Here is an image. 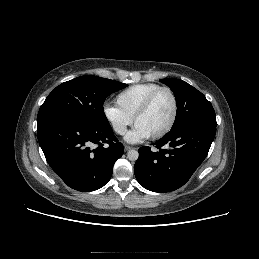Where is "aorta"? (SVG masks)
I'll return each instance as SVG.
<instances>
[{
    "label": "aorta",
    "instance_id": "762f6f07",
    "mask_svg": "<svg viewBox=\"0 0 259 259\" xmlns=\"http://www.w3.org/2000/svg\"><path fill=\"white\" fill-rule=\"evenodd\" d=\"M139 157V154L136 150L132 149V150H129L128 153H127V158L131 161H136Z\"/></svg>",
    "mask_w": 259,
    "mask_h": 259
}]
</instances>
